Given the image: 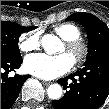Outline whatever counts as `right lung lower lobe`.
<instances>
[{
    "label": "right lung lower lobe",
    "instance_id": "1",
    "mask_svg": "<svg viewBox=\"0 0 109 109\" xmlns=\"http://www.w3.org/2000/svg\"><path fill=\"white\" fill-rule=\"evenodd\" d=\"M22 63V57H1V109H8L17 99L22 85L30 77H9V72L18 69Z\"/></svg>",
    "mask_w": 109,
    "mask_h": 109
}]
</instances>
